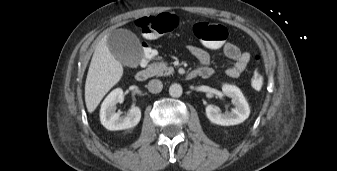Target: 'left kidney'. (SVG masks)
Wrapping results in <instances>:
<instances>
[{"label": "left kidney", "mask_w": 337, "mask_h": 171, "mask_svg": "<svg viewBox=\"0 0 337 171\" xmlns=\"http://www.w3.org/2000/svg\"><path fill=\"white\" fill-rule=\"evenodd\" d=\"M222 91L232 99L235 107L231 112L222 113L218 107L208 105L206 107L207 118L212 123L222 126L237 125L245 121L249 117L250 108L241 90L234 85H224Z\"/></svg>", "instance_id": "obj_1"}]
</instances>
